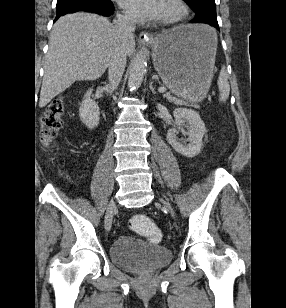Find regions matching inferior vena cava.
Returning a JSON list of instances; mask_svg holds the SVG:
<instances>
[{
    "instance_id": "inferior-vena-cava-1",
    "label": "inferior vena cava",
    "mask_w": 286,
    "mask_h": 308,
    "mask_svg": "<svg viewBox=\"0 0 286 308\" xmlns=\"http://www.w3.org/2000/svg\"><path fill=\"white\" fill-rule=\"evenodd\" d=\"M114 28L120 33L122 38L133 36L135 31V20L129 16L119 15L114 21ZM126 66V54L122 48H118L112 54L109 61L108 80L109 89H117Z\"/></svg>"
}]
</instances>
